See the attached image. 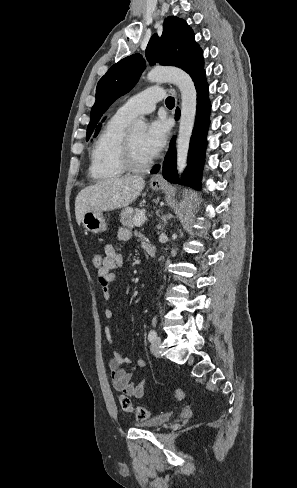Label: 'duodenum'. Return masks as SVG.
Here are the masks:
<instances>
[{"instance_id": "1", "label": "duodenum", "mask_w": 297, "mask_h": 488, "mask_svg": "<svg viewBox=\"0 0 297 488\" xmlns=\"http://www.w3.org/2000/svg\"><path fill=\"white\" fill-rule=\"evenodd\" d=\"M145 250L149 257L153 258L155 256V249L151 244H147Z\"/></svg>"}]
</instances>
